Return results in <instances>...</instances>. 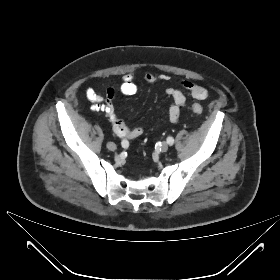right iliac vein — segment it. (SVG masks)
Segmentation results:
<instances>
[{
	"label": "right iliac vein",
	"instance_id": "63e3f726",
	"mask_svg": "<svg viewBox=\"0 0 280 280\" xmlns=\"http://www.w3.org/2000/svg\"><path fill=\"white\" fill-rule=\"evenodd\" d=\"M107 148L110 150V151H115L117 149L116 145L112 142H108L107 143Z\"/></svg>",
	"mask_w": 280,
	"mask_h": 280
}]
</instances>
